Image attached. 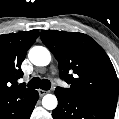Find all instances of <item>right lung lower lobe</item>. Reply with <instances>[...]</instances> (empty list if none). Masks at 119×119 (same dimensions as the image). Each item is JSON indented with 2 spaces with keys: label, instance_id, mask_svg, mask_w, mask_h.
<instances>
[{
  "label": "right lung lower lobe",
  "instance_id": "98d812e1",
  "mask_svg": "<svg viewBox=\"0 0 119 119\" xmlns=\"http://www.w3.org/2000/svg\"><path fill=\"white\" fill-rule=\"evenodd\" d=\"M39 98L36 90L0 102V119H29Z\"/></svg>",
  "mask_w": 119,
  "mask_h": 119
}]
</instances>
